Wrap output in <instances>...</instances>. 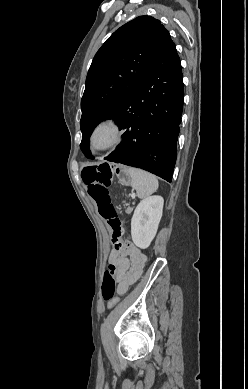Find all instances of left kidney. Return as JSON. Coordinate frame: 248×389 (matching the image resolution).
I'll use <instances>...</instances> for the list:
<instances>
[{
	"mask_svg": "<svg viewBox=\"0 0 248 389\" xmlns=\"http://www.w3.org/2000/svg\"><path fill=\"white\" fill-rule=\"evenodd\" d=\"M164 199L150 196L136 207L131 219V236L134 244L146 249L154 239L163 211Z\"/></svg>",
	"mask_w": 248,
	"mask_h": 389,
	"instance_id": "obj_1",
	"label": "left kidney"
}]
</instances>
